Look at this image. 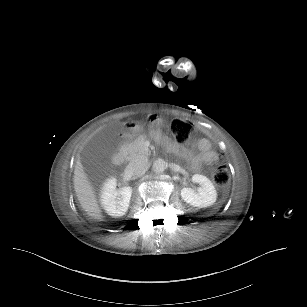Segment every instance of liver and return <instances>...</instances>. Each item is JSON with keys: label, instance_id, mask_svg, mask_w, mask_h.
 Masks as SVG:
<instances>
[{"label": "liver", "instance_id": "liver-1", "mask_svg": "<svg viewBox=\"0 0 307 307\" xmlns=\"http://www.w3.org/2000/svg\"><path fill=\"white\" fill-rule=\"evenodd\" d=\"M73 183L82 210L92 219L98 222L104 221V215L99 205L97 193L84 170L81 159H78L76 162Z\"/></svg>", "mask_w": 307, "mask_h": 307}]
</instances>
